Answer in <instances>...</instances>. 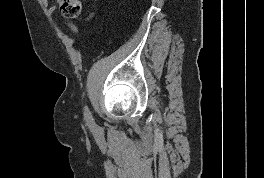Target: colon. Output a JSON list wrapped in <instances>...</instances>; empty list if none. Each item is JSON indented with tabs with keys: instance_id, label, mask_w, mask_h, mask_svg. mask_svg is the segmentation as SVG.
Instances as JSON below:
<instances>
[{
	"instance_id": "5ec220e1",
	"label": "colon",
	"mask_w": 264,
	"mask_h": 178,
	"mask_svg": "<svg viewBox=\"0 0 264 178\" xmlns=\"http://www.w3.org/2000/svg\"><path fill=\"white\" fill-rule=\"evenodd\" d=\"M61 14L66 18H76L81 13L79 0H57Z\"/></svg>"
}]
</instances>
